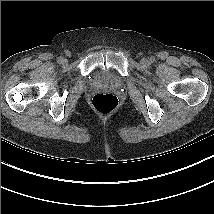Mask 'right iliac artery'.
I'll return each instance as SVG.
<instances>
[{"instance_id": "82829eb1", "label": "right iliac artery", "mask_w": 214, "mask_h": 214, "mask_svg": "<svg viewBox=\"0 0 214 214\" xmlns=\"http://www.w3.org/2000/svg\"><path fill=\"white\" fill-rule=\"evenodd\" d=\"M57 62L61 64L63 62V58L62 57H58Z\"/></svg>"}]
</instances>
